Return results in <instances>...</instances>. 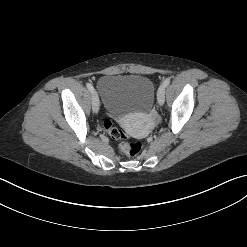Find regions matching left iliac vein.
I'll return each mask as SVG.
<instances>
[{"instance_id":"left-iliac-vein-1","label":"left iliac vein","mask_w":247,"mask_h":247,"mask_svg":"<svg viewBox=\"0 0 247 247\" xmlns=\"http://www.w3.org/2000/svg\"><path fill=\"white\" fill-rule=\"evenodd\" d=\"M164 100H165V87L162 84L159 87L158 92H157V101H158V104L160 106H162L164 104Z\"/></svg>"}]
</instances>
